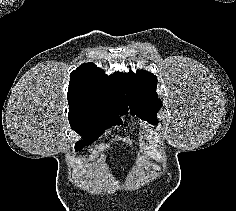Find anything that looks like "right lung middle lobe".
<instances>
[{
    "label": "right lung middle lobe",
    "mask_w": 236,
    "mask_h": 211,
    "mask_svg": "<svg viewBox=\"0 0 236 211\" xmlns=\"http://www.w3.org/2000/svg\"><path fill=\"white\" fill-rule=\"evenodd\" d=\"M125 114L128 112L112 114L69 111L68 119L71 128L83 136V140L75 144V151L81 150L85 145L92 144L107 128L113 125H121L120 116Z\"/></svg>",
    "instance_id": "1"
}]
</instances>
